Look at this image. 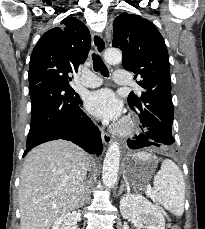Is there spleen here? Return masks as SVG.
I'll return each instance as SVG.
<instances>
[{
    "mask_svg": "<svg viewBox=\"0 0 205 229\" xmlns=\"http://www.w3.org/2000/svg\"><path fill=\"white\" fill-rule=\"evenodd\" d=\"M156 159L147 152H137L133 159L149 161ZM154 189L148 187L149 195L156 199L166 210L181 216L184 212L185 182L179 167L170 159L162 160L161 169L154 177Z\"/></svg>",
    "mask_w": 205,
    "mask_h": 229,
    "instance_id": "1",
    "label": "spleen"
}]
</instances>
